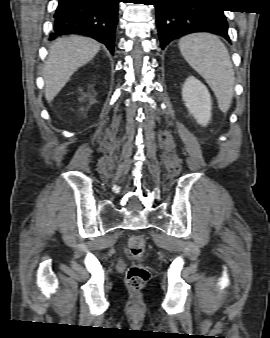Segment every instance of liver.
I'll use <instances>...</instances> for the list:
<instances>
[{"label":"liver","mask_w":270,"mask_h":338,"mask_svg":"<svg viewBox=\"0 0 270 338\" xmlns=\"http://www.w3.org/2000/svg\"><path fill=\"white\" fill-rule=\"evenodd\" d=\"M99 50L97 41L81 36L59 38L53 42L43 70L46 100L51 102L73 73L91 61Z\"/></svg>","instance_id":"liver-1"}]
</instances>
